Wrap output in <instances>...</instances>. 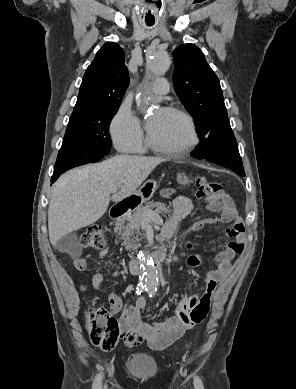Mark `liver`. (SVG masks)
<instances>
[{
	"mask_svg": "<svg viewBox=\"0 0 296 389\" xmlns=\"http://www.w3.org/2000/svg\"><path fill=\"white\" fill-rule=\"evenodd\" d=\"M164 161L159 157L118 155L62 175L52 188L48 207L52 246L63 236L99 220L110 199L117 202L135 193Z\"/></svg>",
	"mask_w": 296,
	"mask_h": 389,
	"instance_id": "1",
	"label": "liver"
}]
</instances>
